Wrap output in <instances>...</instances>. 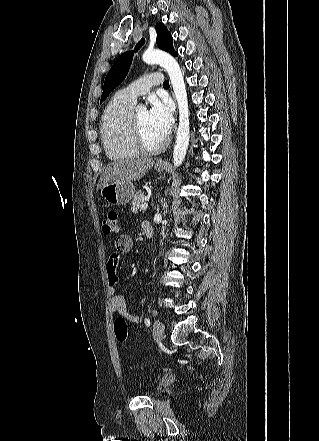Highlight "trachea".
<instances>
[{
	"label": "trachea",
	"mask_w": 319,
	"mask_h": 441,
	"mask_svg": "<svg viewBox=\"0 0 319 441\" xmlns=\"http://www.w3.org/2000/svg\"><path fill=\"white\" fill-rule=\"evenodd\" d=\"M163 87H169V82L168 81H164V83H163Z\"/></svg>",
	"instance_id": "3493384b"
}]
</instances>
